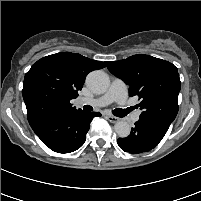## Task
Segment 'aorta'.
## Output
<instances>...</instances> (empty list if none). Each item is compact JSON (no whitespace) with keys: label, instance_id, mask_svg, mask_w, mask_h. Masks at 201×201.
Returning a JSON list of instances; mask_svg holds the SVG:
<instances>
[{"label":"aorta","instance_id":"aorta-1","mask_svg":"<svg viewBox=\"0 0 201 201\" xmlns=\"http://www.w3.org/2000/svg\"><path fill=\"white\" fill-rule=\"evenodd\" d=\"M86 84L88 88L94 93L103 94L108 90L110 80L105 72L101 70H95L88 74L86 78ZM114 130L119 137L126 138L129 136L131 128L126 121H118L114 125Z\"/></svg>","mask_w":201,"mask_h":201}]
</instances>
